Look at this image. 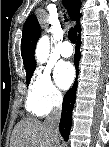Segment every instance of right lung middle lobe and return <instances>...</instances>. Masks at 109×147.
Here are the masks:
<instances>
[{
	"instance_id": "dd1d6c3e",
	"label": "right lung middle lobe",
	"mask_w": 109,
	"mask_h": 147,
	"mask_svg": "<svg viewBox=\"0 0 109 147\" xmlns=\"http://www.w3.org/2000/svg\"><path fill=\"white\" fill-rule=\"evenodd\" d=\"M35 69L29 71L26 73V79H27V84L29 83L30 79H31V76H32V73Z\"/></svg>"
}]
</instances>
